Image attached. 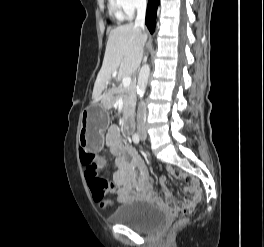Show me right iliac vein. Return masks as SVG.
I'll list each match as a JSON object with an SVG mask.
<instances>
[{
	"label": "right iliac vein",
	"mask_w": 264,
	"mask_h": 247,
	"mask_svg": "<svg viewBox=\"0 0 264 247\" xmlns=\"http://www.w3.org/2000/svg\"><path fill=\"white\" fill-rule=\"evenodd\" d=\"M141 133L144 134V130H142Z\"/></svg>",
	"instance_id": "obj_1"
}]
</instances>
